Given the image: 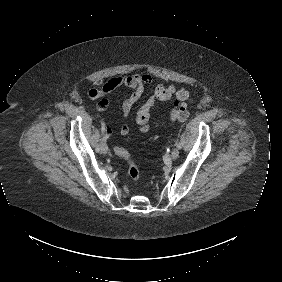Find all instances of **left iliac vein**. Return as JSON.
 Returning a JSON list of instances; mask_svg holds the SVG:
<instances>
[{
	"label": "left iliac vein",
	"instance_id": "1",
	"mask_svg": "<svg viewBox=\"0 0 282 282\" xmlns=\"http://www.w3.org/2000/svg\"><path fill=\"white\" fill-rule=\"evenodd\" d=\"M178 156H179V150H178V148L173 149V151H172V153H171V155H170V158H171L172 160H176V159L178 158Z\"/></svg>",
	"mask_w": 282,
	"mask_h": 282
}]
</instances>
